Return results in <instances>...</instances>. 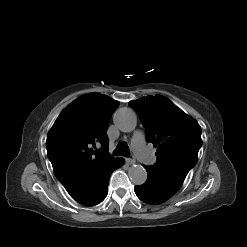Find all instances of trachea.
<instances>
[{
    "instance_id": "obj_1",
    "label": "trachea",
    "mask_w": 247,
    "mask_h": 247,
    "mask_svg": "<svg viewBox=\"0 0 247 247\" xmlns=\"http://www.w3.org/2000/svg\"><path fill=\"white\" fill-rule=\"evenodd\" d=\"M115 156H129V147L126 143L122 142L117 145L114 150Z\"/></svg>"
}]
</instances>
